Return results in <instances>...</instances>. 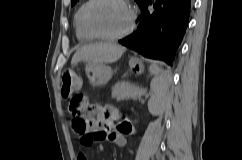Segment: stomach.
I'll use <instances>...</instances> for the list:
<instances>
[{"label": "stomach", "mask_w": 242, "mask_h": 160, "mask_svg": "<svg viewBox=\"0 0 242 160\" xmlns=\"http://www.w3.org/2000/svg\"><path fill=\"white\" fill-rule=\"evenodd\" d=\"M129 66L131 69H134L138 75L142 74L144 71L143 63L137 58H131ZM85 71L92 87L105 85L111 79L113 74L111 67L105 63L87 62Z\"/></svg>", "instance_id": "stomach-1"}]
</instances>
